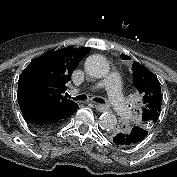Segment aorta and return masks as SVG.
Masks as SVG:
<instances>
[{"label": "aorta", "instance_id": "obj_1", "mask_svg": "<svg viewBox=\"0 0 177 177\" xmlns=\"http://www.w3.org/2000/svg\"><path fill=\"white\" fill-rule=\"evenodd\" d=\"M85 71L97 78H104L109 73V64L105 57L94 54L89 56L84 64ZM100 126L104 130H113L117 124L116 116L111 112H105L100 116Z\"/></svg>", "mask_w": 177, "mask_h": 177}]
</instances>
